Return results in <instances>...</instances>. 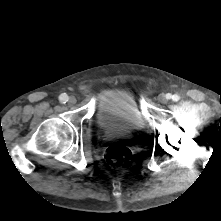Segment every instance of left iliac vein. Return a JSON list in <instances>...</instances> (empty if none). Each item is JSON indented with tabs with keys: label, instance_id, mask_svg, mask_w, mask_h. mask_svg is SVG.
I'll return each mask as SVG.
<instances>
[{
	"label": "left iliac vein",
	"instance_id": "obj_1",
	"mask_svg": "<svg viewBox=\"0 0 221 221\" xmlns=\"http://www.w3.org/2000/svg\"><path fill=\"white\" fill-rule=\"evenodd\" d=\"M158 100L163 104H165L168 101L167 96L165 94L159 95Z\"/></svg>",
	"mask_w": 221,
	"mask_h": 221
}]
</instances>
